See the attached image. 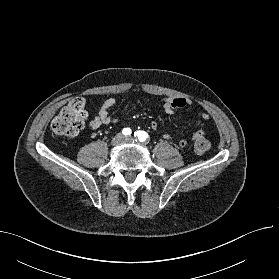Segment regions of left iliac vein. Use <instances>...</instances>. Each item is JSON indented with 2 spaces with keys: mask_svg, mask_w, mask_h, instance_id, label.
Listing matches in <instances>:
<instances>
[{
  "mask_svg": "<svg viewBox=\"0 0 279 279\" xmlns=\"http://www.w3.org/2000/svg\"><path fill=\"white\" fill-rule=\"evenodd\" d=\"M124 142H129V143H131V142H133L134 140H133V138L132 137H124V140H123Z\"/></svg>",
  "mask_w": 279,
  "mask_h": 279,
  "instance_id": "4c4485c4",
  "label": "left iliac vein"
}]
</instances>
